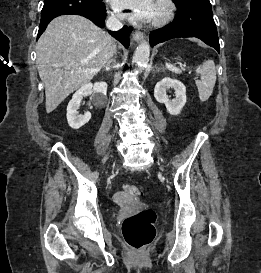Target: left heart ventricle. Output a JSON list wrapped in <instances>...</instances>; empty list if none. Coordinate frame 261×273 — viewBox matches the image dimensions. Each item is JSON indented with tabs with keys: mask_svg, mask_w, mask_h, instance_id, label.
I'll return each instance as SVG.
<instances>
[{
	"mask_svg": "<svg viewBox=\"0 0 261 273\" xmlns=\"http://www.w3.org/2000/svg\"><path fill=\"white\" fill-rule=\"evenodd\" d=\"M159 12H160V9H159V7L156 4V9H155L154 17H156L159 14Z\"/></svg>",
	"mask_w": 261,
	"mask_h": 273,
	"instance_id": "b2bd125f",
	"label": "left heart ventricle"
}]
</instances>
